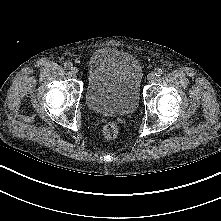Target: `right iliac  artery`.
Returning <instances> with one entry per match:
<instances>
[{
  "instance_id": "1",
  "label": "right iliac artery",
  "mask_w": 221,
  "mask_h": 221,
  "mask_svg": "<svg viewBox=\"0 0 221 221\" xmlns=\"http://www.w3.org/2000/svg\"><path fill=\"white\" fill-rule=\"evenodd\" d=\"M72 66H73L72 63L69 62V61H67V62L64 63V67H65L66 69H71Z\"/></svg>"
}]
</instances>
